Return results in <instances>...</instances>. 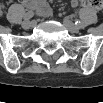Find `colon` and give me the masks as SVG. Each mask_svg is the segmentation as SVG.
Returning <instances> with one entry per match:
<instances>
[{
	"label": "colon",
	"instance_id": "obj_1",
	"mask_svg": "<svg viewBox=\"0 0 103 103\" xmlns=\"http://www.w3.org/2000/svg\"><path fill=\"white\" fill-rule=\"evenodd\" d=\"M82 4L96 10H101L103 6V3L101 0H86L82 2ZM0 11H2V8H0Z\"/></svg>",
	"mask_w": 103,
	"mask_h": 103
}]
</instances>
